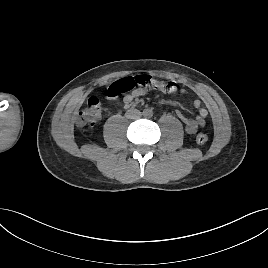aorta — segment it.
<instances>
[{"instance_id":"obj_1","label":"aorta","mask_w":268,"mask_h":268,"mask_svg":"<svg viewBox=\"0 0 268 268\" xmlns=\"http://www.w3.org/2000/svg\"><path fill=\"white\" fill-rule=\"evenodd\" d=\"M143 113H144V116L148 118L153 115V112L151 109H145Z\"/></svg>"}]
</instances>
